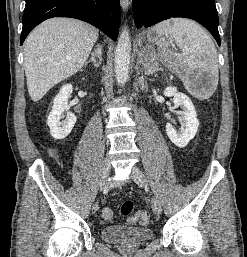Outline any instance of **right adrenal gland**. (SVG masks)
<instances>
[{
    "label": "right adrenal gland",
    "instance_id": "1",
    "mask_svg": "<svg viewBox=\"0 0 247 257\" xmlns=\"http://www.w3.org/2000/svg\"><path fill=\"white\" fill-rule=\"evenodd\" d=\"M88 63H93L95 68L100 66L101 58L98 55V49L94 50V52L91 54V58L85 63V66L88 65Z\"/></svg>",
    "mask_w": 247,
    "mask_h": 257
}]
</instances>
